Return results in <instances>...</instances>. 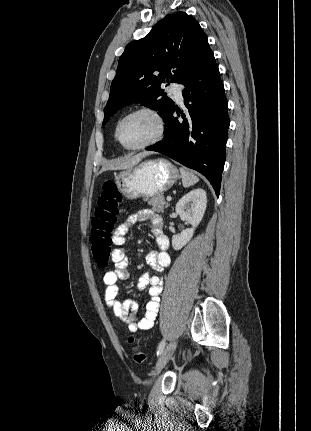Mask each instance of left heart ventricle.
<instances>
[{
	"instance_id": "left-heart-ventricle-1",
	"label": "left heart ventricle",
	"mask_w": 311,
	"mask_h": 431,
	"mask_svg": "<svg viewBox=\"0 0 311 431\" xmlns=\"http://www.w3.org/2000/svg\"><path fill=\"white\" fill-rule=\"evenodd\" d=\"M158 132L157 120L148 113H136L125 117L118 126V136L127 146L150 141Z\"/></svg>"
}]
</instances>
